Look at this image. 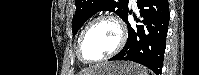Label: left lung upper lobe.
<instances>
[{
    "label": "left lung upper lobe",
    "instance_id": "obj_1",
    "mask_svg": "<svg viewBox=\"0 0 199 75\" xmlns=\"http://www.w3.org/2000/svg\"><path fill=\"white\" fill-rule=\"evenodd\" d=\"M128 3L129 0H76V12L72 20L73 35L99 11H112L123 19L128 12Z\"/></svg>",
    "mask_w": 199,
    "mask_h": 75
}]
</instances>
